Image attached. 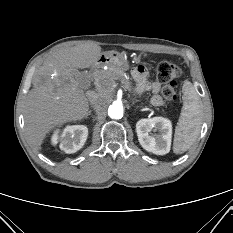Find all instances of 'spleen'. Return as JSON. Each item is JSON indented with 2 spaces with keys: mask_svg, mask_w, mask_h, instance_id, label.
<instances>
[{
  "mask_svg": "<svg viewBox=\"0 0 233 233\" xmlns=\"http://www.w3.org/2000/svg\"><path fill=\"white\" fill-rule=\"evenodd\" d=\"M183 108L177 123L173 142V151L181 154L196 141L202 125V107L200 97L193 84L186 81L182 87Z\"/></svg>",
  "mask_w": 233,
  "mask_h": 233,
  "instance_id": "3e777b00",
  "label": "spleen"
}]
</instances>
